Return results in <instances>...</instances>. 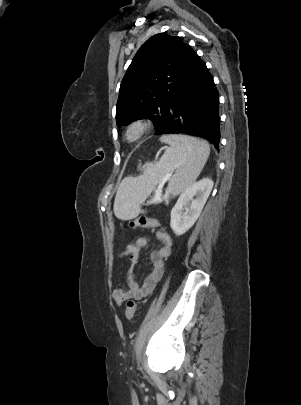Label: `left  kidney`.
<instances>
[{
    "mask_svg": "<svg viewBox=\"0 0 301 405\" xmlns=\"http://www.w3.org/2000/svg\"><path fill=\"white\" fill-rule=\"evenodd\" d=\"M213 181L204 178L189 186L178 198L171 210L170 226L175 235L186 233L196 222L211 193ZM186 215H183V210Z\"/></svg>",
    "mask_w": 301,
    "mask_h": 405,
    "instance_id": "left-kidney-1",
    "label": "left kidney"
}]
</instances>
